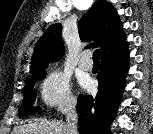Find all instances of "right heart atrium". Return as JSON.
Returning <instances> with one entry per match:
<instances>
[{"instance_id":"1","label":"right heart atrium","mask_w":153,"mask_h":134,"mask_svg":"<svg viewBox=\"0 0 153 134\" xmlns=\"http://www.w3.org/2000/svg\"><path fill=\"white\" fill-rule=\"evenodd\" d=\"M40 96L47 106L60 111L70 109L75 103L69 76L58 68L50 70L42 79Z\"/></svg>"}]
</instances>
